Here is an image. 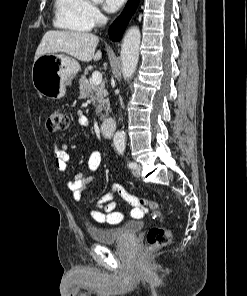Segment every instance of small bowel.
<instances>
[{"label": "small bowel", "mask_w": 247, "mask_h": 296, "mask_svg": "<svg viewBox=\"0 0 247 296\" xmlns=\"http://www.w3.org/2000/svg\"><path fill=\"white\" fill-rule=\"evenodd\" d=\"M76 120L80 127H88L89 119L81 112L76 114ZM69 161V153L67 145L63 144L55 147L54 164L59 171H64ZM102 162V154L100 151H93L88 158V169L91 173H78L74 179L67 182V186L73 194L75 201H80L87 192L89 184L94 181V172L98 170ZM115 194L121 196L126 202L134 206L132 213L140 212L139 206L135 203L137 197L130 194L122 185L118 183L112 184L110 189L101 195L98 199V210L90 212L91 217L98 223L116 225L123 221L124 214L117 210V203L113 201Z\"/></svg>", "instance_id": "small-bowel-1"}]
</instances>
